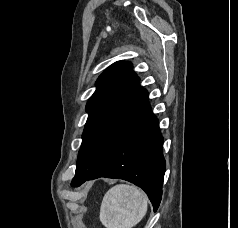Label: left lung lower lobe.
<instances>
[{"instance_id":"1","label":"left lung lower lobe","mask_w":238,"mask_h":228,"mask_svg":"<svg viewBox=\"0 0 238 228\" xmlns=\"http://www.w3.org/2000/svg\"><path fill=\"white\" fill-rule=\"evenodd\" d=\"M162 144L158 120L152 113L146 92L99 165L89 174L75 176L71 185L78 187L86 180L99 177L124 179L142 188L156 211L166 167Z\"/></svg>"}]
</instances>
